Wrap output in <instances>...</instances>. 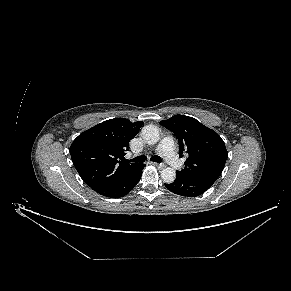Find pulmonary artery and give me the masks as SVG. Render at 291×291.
I'll use <instances>...</instances> for the list:
<instances>
[{
    "label": "pulmonary artery",
    "mask_w": 291,
    "mask_h": 291,
    "mask_svg": "<svg viewBox=\"0 0 291 291\" xmlns=\"http://www.w3.org/2000/svg\"><path fill=\"white\" fill-rule=\"evenodd\" d=\"M156 151L161 153L168 164L174 169H181L182 163L174 151V140L172 137H164L156 148Z\"/></svg>",
    "instance_id": "pulmonary-artery-1"
}]
</instances>
